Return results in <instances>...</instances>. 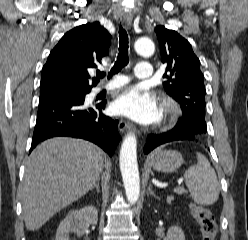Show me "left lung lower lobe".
<instances>
[{
    "instance_id": "obj_1",
    "label": "left lung lower lobe",
    "mask_w": 248,
    "mask_h": 240,
    "mask_svg": "<svg viewBox=\"0 0 248 240\" xmlns=\"http://www.w3.org/2000/svg\"><path fill=\"white\" fill-rule=\"evenodd\" d=\"M196 133L186 130V129H178L173 128L172 130L159 134V135H149L146 141V145L144 147V152L148 154L151 150L156 148L157 146L171 142V141H178V140H195ZM197 141V140H196Z\"/></svg>"
}]
</instances>
